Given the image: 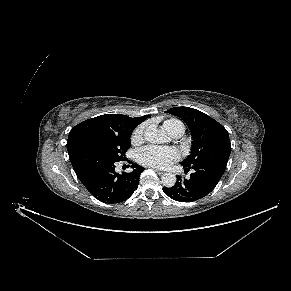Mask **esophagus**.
Instances as JSON below:
<instances>
[{"label":"esophagus","instance_id":"1","mask_svg":"<svg viewBox=\"0 0 291 291\" xmlns=\"http://www.w3.org/2000/svg\"><path fill=\"white\" fill-rule=\"evenodd\" d=\"M153 170L156 171L159 175L164 174V171H161V170H158V169H155V168H153Z\"/></svg>","mask_w":291,"mask_h":291}]
</instances>
